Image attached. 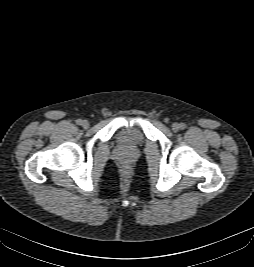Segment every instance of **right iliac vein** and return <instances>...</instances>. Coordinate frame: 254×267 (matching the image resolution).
<instances>
[{
	"instance_id": "63e3f726",
	"label": "right iliac vein",
	"mask_w": 254,
	"mask_h": 267,
	"mask_svg": "<svg viewBox=\"0 0 254 267\" xmlns=\"http://www.w3.org/2000/svg\"><path fill=\"white\" fill-rule=\"evenodd\" d=\"M89 122L87 121V120H83L82 121V126L84 127V128H88L89 127Z\"/></svg>"
}]
</instances>
